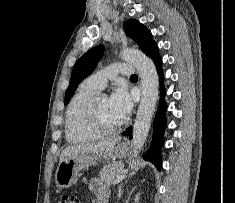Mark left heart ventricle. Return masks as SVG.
<instances>
[{"label": "left heart ventricle", "instance_id": "obj_1", "mask_svg": "<svg viewBox=\"0 0 235 203\" xmlns=\"http://www.w3.org/2000/svg\"><path fill=\"white\" fill-rule=\"evenodd\" d=\"M98 107L101 120L107 127L113 128L123 122L111 109L108 98H99Z\"/></svg>", "mask_w": 235, "mask_h": 203}]
</instances>
